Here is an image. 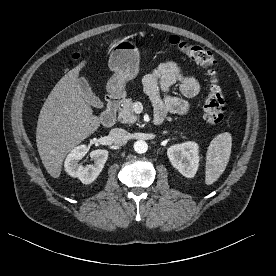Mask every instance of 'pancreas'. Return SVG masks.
I'll use <instances>...</instances> for the list:
<instances>
[{"label": "pancreas", "instance_id": "cf45deb5", "mask_svg": "<svg viewBox=\"0 0 276 276\" xmlns=\"http://www.w3.org/2000/svg\"><path fill=\"white\" fill-rule=\"evenodd\" d=\"M118 119L121 123L134 124L138 121V117L133 111V101L131 98L124 99L122 107L118 113Z\"/></svg>", "mask_w": 276, "mask_h": 276}]
</instances>
